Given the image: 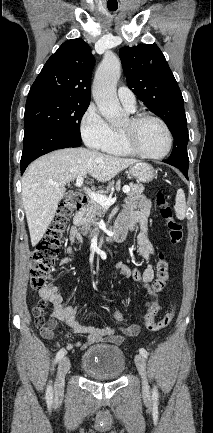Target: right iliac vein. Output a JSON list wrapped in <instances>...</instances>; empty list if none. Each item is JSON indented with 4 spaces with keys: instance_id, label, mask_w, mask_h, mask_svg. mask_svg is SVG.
<instances>
[{
    "instance_id": "right-iliac-vein-1",
    "label": "right iliac vein",
    "mask_w": 213,
    "mask_h": 433,
    "mask_svg": "<svg viewBox=\"0 0 213 433\" xmlns=\"http://www.w3.org/2000/svg\"><path fill=\"white\" fill-rule=\"evenodd\" d=\"M69 369L70 360L68 357H64L58 365L57 378L54 385V394L56 399H59L63 396L65 376Z\"/></svg>"
}]
</instances>
